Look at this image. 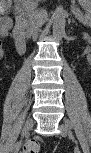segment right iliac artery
Wrapping results in <instances>:
<instances>
[{"label": "right iliac artery", "mask_w": 91, "mask_h": 153, "mask_svg": "<svg viewBox=\"0 0 91 153\" xmlns=\"http://www.w3.org/2000/svg\"><path fill=\"white\" fill-rule=\"evenodd\" d=\"M21 143H22V141H21V140H20V141H18V142L15 144V147H20Z\"/></svg>", "instance_id": "obj_1"}]
</instances>
